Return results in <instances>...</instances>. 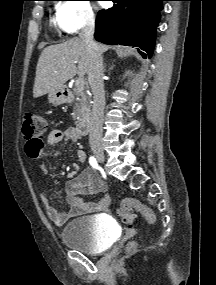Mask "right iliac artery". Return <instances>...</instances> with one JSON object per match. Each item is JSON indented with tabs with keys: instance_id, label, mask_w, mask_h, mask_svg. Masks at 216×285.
Here are the masks:
<instances>
[{
	"instance_id": "1",
	"label": "right iliac artery",
	"mask_w": 216,
	"mask_h": 285,
	"mask_svg": "<svg viewBox=\"0 0 216 285\" xmlns=\"http://www.w3.org/2000/svg\"><path fill=\"white\" fill-rule=\"evenodd\" d=\"M89 163L90 165L94 168V169H99V166H98V163H97V160L94 156H91L89 158Z\"/></svg>"
}]
</instances>
